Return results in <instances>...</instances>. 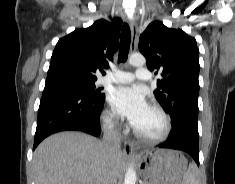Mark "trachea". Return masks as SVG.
Instances as JSON below:
<instances>
[{"mask_svg": "<svg viewBox=\"0 0 235 184\" xmlns=\"http://www.w3.org/2000/svg\"><path fill=\"white\" fill-rule=\"evenodd\" d=\"M131 41V33L129 26L124 23L120 36V49H119V58L118 62L126 61Z\"/></svg>", "mask_w": 235, "mask_h": 184, "instance_id": "1", "label": "trachea"}]
</instances>
